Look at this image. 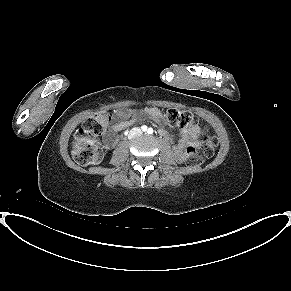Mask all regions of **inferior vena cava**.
<instances>
[{
    "mask_svg": "<svg viewBox=\"0 0 291 291\" xmlns=\"http://www.w3.org/2000/svg\"><path fill=\"white\" fill-rule=\"evenodd\" d=\"M142 133L141 129L138 127H134L130 130L128 138L131 139L137 135H140Z\"/></svg>",
    "mask_w": 291,
    "mask_h": 291,
    "instance_id": "obj_1",
    "label": "inferior vena cava"
}]
</instances>
